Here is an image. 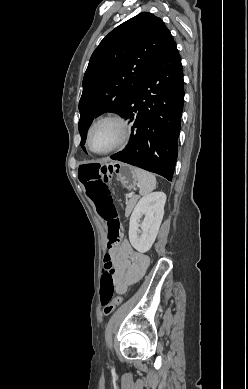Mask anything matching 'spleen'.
<instances>
[{
    "mask_svg": "<svg viewBox=\"0 0 248 389\" xmlns=\"http://www.w3.org/2000/svg\"><path fill=\"white\" fill-rule=\"evenodd\" d=\"M134 175L139 183L140 195L145 196L155 189L156 178L152 173L140 168H134Z\"/></svg>",
    "mask_w": 248,
    "mask_h": 389,
    "instance_id": "1",
    "label": "spleen"
}]
</instances>
